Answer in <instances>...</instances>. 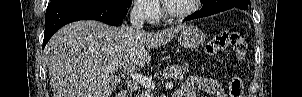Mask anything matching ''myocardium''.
I'll return each instance as SVG.
<instances>
[{
	"label": "myocardium",
	"instance_id": "obj_1",
	"mask_svg": "<svg viewBox=\"0 0 302 97\" xmlns=\"http://www.w3.org/2000/svg\"><path fill=\"white\" fill-rule=\"evenodd\" d=\"M201 0H192V6L182 12H174L172 11L169 1H164V11L168 18L172 20H180L187 18L194 14L200 6Z\"/></svg>",
	"mask_w": 302,
	"mask_h": 97
}]
</instances>
